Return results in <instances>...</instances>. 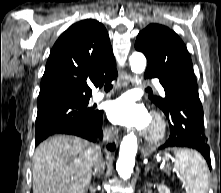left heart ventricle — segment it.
Returning a JSON list of instances; mask_svg holds the SVG:
<instances>
[{
	"label": "left heart ventricle",
	"instance_id": "left-heart-ventricle-1",
	"mask_svg": "<svg viewBox=\"0 0 221 193\" xmlns=\"http://www.w3.org/2000/svg\"><path fill=\"white\" fill-rule=\"evenodd\" d=\"M156 128L157 127H156L155 122L150 118L149 122L147 123L144 129L148 132H154Z\"/></svg>",
	"mask_w": 221,
	"mask_h": 193
}]
</instances>
